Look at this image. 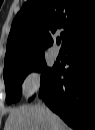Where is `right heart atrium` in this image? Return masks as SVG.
Returning a JSON list of instances; mask_svg holds the SVG:
<instances>
[{
	"label": "right heart atrium",
	"instance_id": "d8ad5b80",
	"mask_svg": "<svg viewBox=\"0 0 95 130\" xmlns=\"http://www.w3.org/2000/svg\"><path fill=\"white\" fill-rule=\"evenodd\" d=\"M21 91L26 97H32L39 92L42 86V76L38 69L28 70L21 79Z\"/></svg>",
	"mask_w": 95,
	"mask_h": 130
}]
</instances>
